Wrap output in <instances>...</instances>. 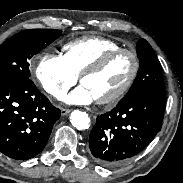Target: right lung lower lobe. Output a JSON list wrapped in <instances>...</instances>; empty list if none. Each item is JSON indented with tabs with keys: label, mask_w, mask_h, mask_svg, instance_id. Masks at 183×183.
Returning a JSON list of instances; mask_svg holds the SVG:
<instances>
[{
	"label": "right lung lower lobe",
	"mask_w": 183,
	"mask_h": 183,
	"mask_svg": "<svg viewBox=\"0 0 183 183\" xmlns=\"http://www.w3.org/2000/svg\"><path fill=\"white\" fill-rule=\"evenodd\" d=\"M55 108L26 77L0 80V152L27 160L45 147L54 123Z\"/></svg>",
	"instance_id": "98d812e1"
}]
</instances>
